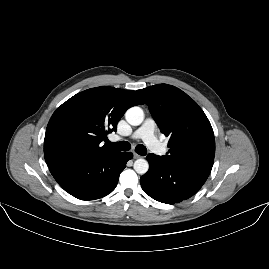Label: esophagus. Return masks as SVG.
<instances>
[{
  "mask_svg": "<svg viewBox=\"0 0 269 269\" xmlns=\"http://www.w3.org/2000/svg\"><path fill=\"white\" fill-rule=\"evenodd\" d=\"M133 155H134L135 159L141 158V156L139 154L135 153V152L133 153Z\"/></svg>",
  "mask_w": 269,
  "mask_h": 269,
  "instance_id": "obj_1",
  "label": "esophagus"
}]
</instances>
